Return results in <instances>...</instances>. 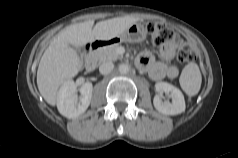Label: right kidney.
Here are the masks:
<instances>
[{
    "label": "right kidney",
    "instance_id": "right-kidney-1",
    "mask_svg": "<svg viewBox=\"0 0 238 158\" xmlns=\"http://www.w3.org/2000/svg\"><path fill=\"white\" fill-rule=\"evenodd\" d=\"M92 90V83H84L79 89L81 96L78 102L76 84L73 80L66 81L61 86L57 96V107L59 112L69 119L76 118L83 114L90 105Z\"/></svg>",
    "mask_w": 238,
    "mask_h": 158
}]
</instances>
